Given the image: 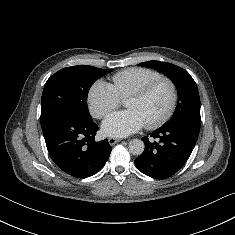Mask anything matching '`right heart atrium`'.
<instances>
[{"mask_svg": "<svg viewBox=\"0 0 235 235\" xmlns=\"http://www.w3.org/2000/svg\"><path fill=\"white\" fill-rule=\"evenodd\" d=\"M87 102L92 116L101 119L118 107L120 98L110 84L99 80L89 89Z\"/></svg>", "mask_w": 235, "mask_h": 235, "instance_id": "right-heart-atrium-1", "label": "right heart atrium"}]
</instances>
